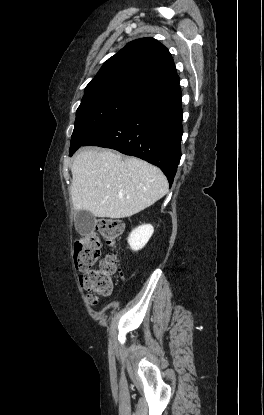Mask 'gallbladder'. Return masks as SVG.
Returning <instances> with one entry per match:
<instances>
[{
    "label": "gallbladder",
    "mask_w": 264,
    "mask_h": 415,
    "mask_svg": "<svg viewBox=\"0 0 264 415\" xmlns=\"http://www.w3.org/2000/svg\"><path fill=\"white\" fill-rule=\"evenodd\" d=\"M95 222V217L88 211H78L75 217V226L79 234L88 235Z\"/></svg>",
    "instance_id": "bac80fb5"
}]
</instances>
